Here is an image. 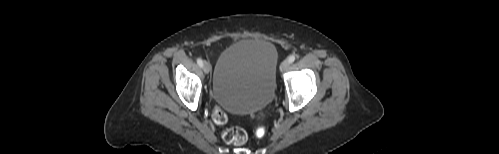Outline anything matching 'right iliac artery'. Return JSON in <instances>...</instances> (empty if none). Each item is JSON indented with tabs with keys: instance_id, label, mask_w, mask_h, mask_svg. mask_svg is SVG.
<instances>
[{
	"instance_id": "right-iliac-artery-1",
	"label": "right iliac artery",
	"mask_w": 499,
	"mask_h": 154,
	"mask_svg": "<svg viewBox=\"0 0 499 154\" xmlns=\"http://www.w3.org/2000/svg\"><path fill=\"white\" fill-rule=\"evenodd\" d=\"M197 64H198L200 67H202V66H203V61H202V59H201V58H198V59H197Z\"/></svg>"
}]
</instances>
